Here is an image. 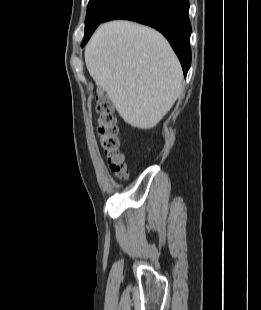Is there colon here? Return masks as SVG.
<instances>
[{
  "label": "colon",
  "mask_w": 261,
  "mask_h": 310,
  "mask_svg": "<svg viewBox=\"0 0 261 310\" xmlns=\"http://www.w3.org/2000/svg\"><path fill=\"white\" fill-rule=\"evenodd\" d=\"M97 131L101 147L108 159L111 171L121 179L128 176L124 156L120 152L119 126L113 106L104 95L97 99Z\"/></svg>",
  "instance_id": "1"
}]
</instances>
